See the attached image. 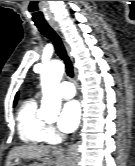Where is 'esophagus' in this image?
<instances>
[{
    "label": "esophagus",
    "instance_id": "1",
    "mask_svg": "<svg viewBox=\"0 0 135 166\" xmlns=\"http://www.w3.org/2000/svg\"><path fill=\"white\" fill-rule=\"evenodd\" d=\"M50 25L52 26V28L57 32V34L64 39L63 34L61 32V29L59 28V26L57 25V23L55 22H50Z\"/></svg>",
    "mask_w": 135,
    "mask_h": 166
}]
</instances>
